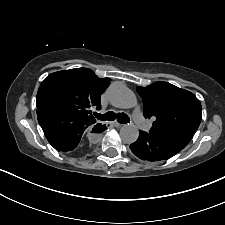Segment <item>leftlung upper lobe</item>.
I'll use <instances>...</instances> for the list:
<instances>
[{
    "label": "left lung upper lobe",
    "instance_id": "5c2ea615",
    "mask_svg": "<svg viewBox=\"0 0 225 225\" xmlns=\"http://www.w3.org/2000/svg\"><path fill=\"white\" fill-rule=\"evenodd\" d=\"M136 90L143 100L144 116L155 120L151 135L193 138L202 116L200 101L193 93L162 81Z\"/></svg>",
    "mask_w": 225,
    "mask_h": 225
}]
</instances>
